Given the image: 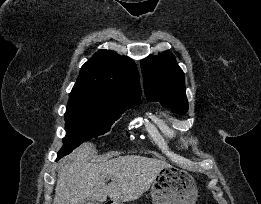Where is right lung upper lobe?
<instances>
[{
	"label": "right lung upper lobe",
	"mask_w": 261,
	"mask_h": 204,
	"mask_svg": "<svg viewBox=\"0 0 261 204\" xmlns=\"http://www.w3.org/2000/svg\"><path fill=\"white\" fill-rule=\"evenodd\" d=\"M142 94L136 64L126 56L100 50L86 62L70 98H89L101 104H131Z\"/></svg>",
	"instance_id": "cb5924a9"
}]
</instances>
